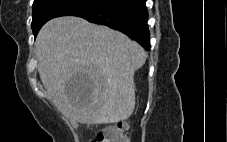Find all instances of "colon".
Returning a JSON list of instances; mask_svg holds the SVG:
<instances>
[{"instance_id":"5ec220e1","label":"colon","mask_w":227,"mask_h":142,"mask_svg":"<svg viewBox=\"0 0 227 142\" xmlns=\"http://www.w3.org/2000/svg\"><path fill=\"white\" fill-rule=\"evenodd\" d=\"M127 129L128 125L124 122L106 127L99 131L96 138L91 142H128Z\"/></svg>"}]
</instances>
